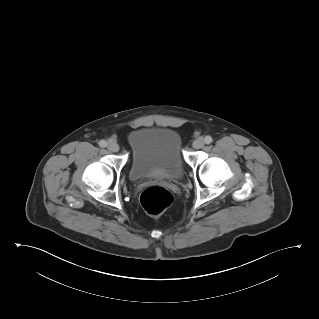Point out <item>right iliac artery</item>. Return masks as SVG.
<instances>
[{"label": "right iliac artery", "instance_id": "right-iliac-artery-1", "mask_svg": "<svg viewBox=\"0 0 319 319\" xmlns=\"http://www.w3.org/2000/svg\"><path fill=\"white\" fill-rule=\"evenodd\" d=\"M99 146H100V147H106V146H107V142H106L105 140H101V141L99 142Z\"/></svg>", "mask_w": 319, "mask_h": 319}]
</instances>
